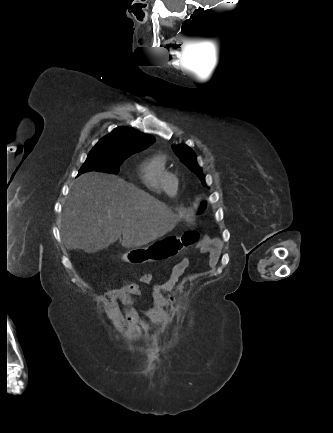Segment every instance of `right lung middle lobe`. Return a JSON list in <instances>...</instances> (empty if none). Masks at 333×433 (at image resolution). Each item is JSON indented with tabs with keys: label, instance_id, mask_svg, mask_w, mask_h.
Wrapping results in <instances>:
<instances>
[{
	"label": "right lung middle lobe",
	"instance_id": "obj_1",
	"mask_svg": "<svg viewBox=\"0 0 333 433\" xmlns=\"http://www.w3.org/2000/svg\"><path fill=\"white\" fill-rule=\"evenodd\" d=\"M131 155L94 147L81 167L79 175L92 170L117 174L120 165Z\"/></svg>",
	"mask_w": 333,
	"mask_h": 433
}]
</instances>
